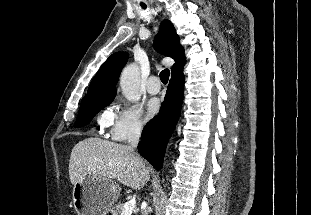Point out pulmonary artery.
Listing matches in <instances>:
<instances>
[{"mask_svg": "<svg viewBox=\"0 0 311 215\" xmlns=\"http://www.w3.org/2000/svg\"><path fill=\"white\" fill-rule=\"evenodd\" d=\"M146 89L150 94H157L160 91V82L156 76H151L146 83Z\"/></svg>", "mask_w": 311, "mask_h": 215, "instance_id": "1", "label": "pulmonary artery"}]
</instances>
